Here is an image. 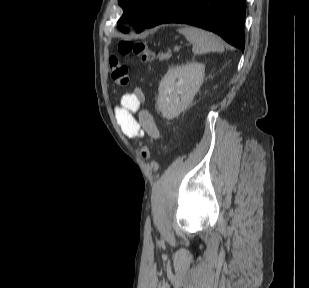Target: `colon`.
Segmentation results:
<instances>
[{"instance_id":"obj_1","label":"colon","mask_w":309,"mask_h":288,"mask_svg":"<svg viewBox=\"0 0 309 288\" xmlns=\"http://www.w3.org/2000/svg\"><path fill=\"white\" fill-rule=\"evenodd\" d=\"M121 56L130 54L141 55L143 62L149 63L155 59V52L151 50L144 42H123L118 47ZM111 81L117 86H126L129 82L128 67L122 63L116 56L109 60ZM150 156V150L144 146L141 150V157L147 160Z\"/></svg>"}]
</instances>
